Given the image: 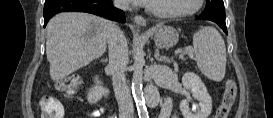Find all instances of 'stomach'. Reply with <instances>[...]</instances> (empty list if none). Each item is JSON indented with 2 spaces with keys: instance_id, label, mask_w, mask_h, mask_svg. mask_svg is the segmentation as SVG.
<instances>
[{
  "instance_id": "0dacf381",
  "label": "stomach",
  "mask_w": 273,
  "mask_h": 118,
  "mask_svg": "<svg viewBox=\"0 0 273 118\" xmlns=\"http://www.w3.org/2000/svg\"><path fill=\"white\" fill-rule=\"evenodd\" d=\"M154 41L160 48H170L177 44L179 40L178 32L170 26H157L152 29Z\"/></svg>"
}]
</instances>
